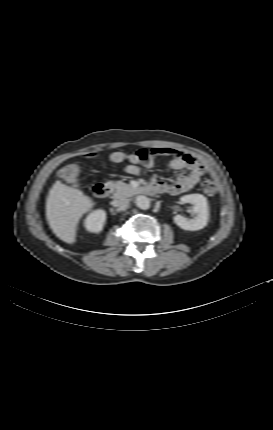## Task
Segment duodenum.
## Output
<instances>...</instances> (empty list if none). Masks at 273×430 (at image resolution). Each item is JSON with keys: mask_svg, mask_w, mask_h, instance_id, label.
Instances as JSON below:
<instances>
[{"mask_svg": "<svg viewBox=\"0 0 273 430\" xmlns=\"http://www.w3.org/2000/svg\"><path fill=\"white\" fill-rule=\"evenodd\" d=\"M111 192V188L107 183L99 182L94 186V193L99 198H106Z\"/></svg>", "mask_w": 273, "mask_h": 430, "instance_id": "obj_1", "label": "duodenum"}]
</instances>
